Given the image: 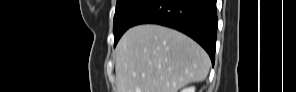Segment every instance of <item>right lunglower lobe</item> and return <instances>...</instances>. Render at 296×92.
Instances as JSON below:
<instances>
[{
	"mask_svg": "<svg viewBox=\"0 0 296 92\" xmlns=\"http://www.w3.org/2000/svg\"><path fill=\"white\" fill-rule=\"evenodd\" d=\"M159 24L197 41L215 60L218 18L216 0H154L133 22Z\"/></svg>",
	"mask_w": 296,
	"mask_h": 92,
	"instance_id": "obj_1",
	"label": "right lung lower lobe"
}]
</instances>
